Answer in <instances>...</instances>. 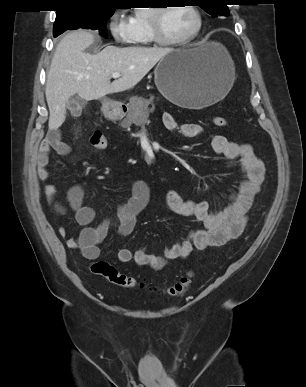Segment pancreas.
<instances>
[{
	"label": "pancreas",
	"mask_w": 306,
	"mask_h": 387,
	"mask_svg": "<svg viewBox=\"0 0 306 387\" xmlns=\"http://www.w3.org/2000/svg\"><path fill=\"white\" fill-rule=\"evenodd\" d=\"M131 105L137 106L133 112L122 122L124 126H130L132 123L135 125L144 126L148 117V105L153 102V99H145L142 97H133L131 99Z\"/></svg>",
	"instance_id": "obj_1"
}]
</instances>
